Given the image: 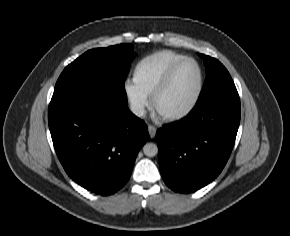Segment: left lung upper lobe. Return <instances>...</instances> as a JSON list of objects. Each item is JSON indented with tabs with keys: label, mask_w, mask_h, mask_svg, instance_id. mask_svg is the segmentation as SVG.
<instances>
[{
	"label": "left lung upper lobe",
	"mask_w": 290,
	"mask_h": 236,
	"mask_svg": "<svg viewBox=\"0 0 290 236\" xmlns=\"http://www.w3.org/2000/svg\"><path fill=\"white\" fill-rule=\"evenodd\" d=\"M205 63L207 77L194 108L205 104L210 99L232 89L234 82L226 68L215 58L200 55Z\"/></svg>",
	"instance_id": "1"
}]
</instances>
